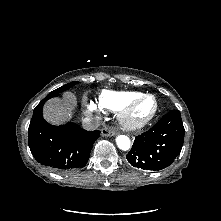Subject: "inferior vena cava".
I'll return each mask as SVG.
<instances>
[{"label":"inferior vena cava","instance_id":"obj_1","mask_svg":"<svg viewBox=\"0 0 221 221\" xmlns=\"http://www.w3.org/2000/svg\"><path fill=\"white\" fill-rule=\"evenodd\" d=\"M100 122L97 118H85L83 119L82 126L86 130H95L99 127Z\"/></svg>","mask_w":221,"mask_h":221}]
</instances>
